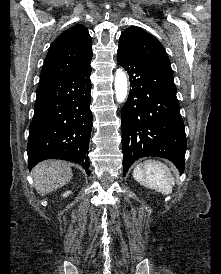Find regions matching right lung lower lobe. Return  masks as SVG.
<instances>
[{
  "label": "right lung lower lobe",
  "mask_w": 221,
  "mask_h": 274,
  "mask_svg": "<svg viewBox=\"0 0 221 274\" xmlns=\"http://www.w3.org/2000/svg\"><path fill=\"white\" fill-rule=\"evenodd\" d=\"M91 67L37 88L27 145L31 170L46 159L79 163L89 175Z\"/></svg>",
  "instance_id": "1"
}]
</instances>
